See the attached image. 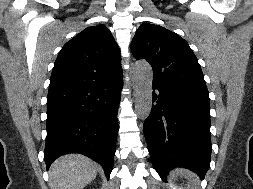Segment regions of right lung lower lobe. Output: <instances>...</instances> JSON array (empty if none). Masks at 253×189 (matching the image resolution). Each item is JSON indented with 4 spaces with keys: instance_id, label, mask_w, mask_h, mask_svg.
<instances>
[{
    "instance_id": "right-lung-lower-lobe-1",
    "label": "right lung lower lobe",
    "mask_w": 253,
    "mask_h": 189,
    "mask_svg": "<svg viewBox=\"0 0 253 189\" xmlns=\"http://www.w3.org/2000/svg\"><path fill=\"white\" fill-rule=\"evenodd\" d=\"M122 74L97 84L49 88L47 169L58 157L80 153L99 163L107 178L113 167Z\"/></svg>"
}]
</instances>
